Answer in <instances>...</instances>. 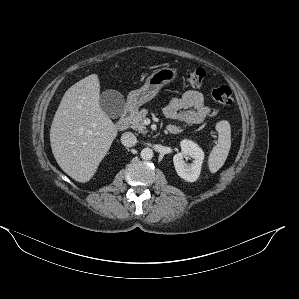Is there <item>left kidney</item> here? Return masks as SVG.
Returning a JSON list of instances; mask_svg holds the SVG:
<instances>
[{
  "label": "left kidney",
  "instance_id": "obj_1",
  "mask_svg": "<svg viewBox=\"0 0 299 299\" xmlns=\"http://www.w3.org/2000/svg\"><path fill=\"white\" fill-rule=\"evenodd\" d=\"M181 152L177 153L173 157V162L177 174L188 182H194L198 179L201 166L204 160L203 150L191 140H182L180 143ZM185 157H190L193 162L187 164L184 161Z\"/></svg>",
  "mask_w": 299,
  "mask_h": 299
}]
</instances>
